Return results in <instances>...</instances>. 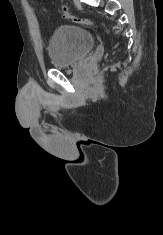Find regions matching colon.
Wrapping results in <instances>:
<instances>
[{"instance_id":"5ec220e1","label":"colon","mask_w":163,"mask_h":235,"mask_svg":"<svg viewBox=\"0 0 163 235\" xmlns=\"http://www.w3.org/2000/svg\"><path fill=\"white\" fill-rule=\"evenodd\" d=\"M62 14L66 19L71 20L73 22L80 24L94 25V23L91 20L78 16L68 9L63 8Z\"/></svg>"}]
</instances>
